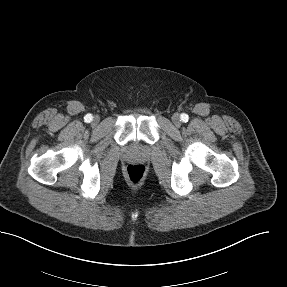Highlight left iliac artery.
<instances>
[{
  "mask_svg": "<svg viewBox=\"0 0 287 287\" xmlns=\"http://www.w3.org/2000/svg\"><path fill=\"white\" fill-rule=\"evenodd\" d=\"M180 118L183 122H187L189 120V116L185 113H182Z\"/></svg>",
  "mask_w": 287,
  "mask_h": 287,
  "instance_id": "1",
  "label": "left iliac artery"
}]
</instances>
